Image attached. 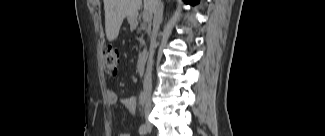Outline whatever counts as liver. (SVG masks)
Masks as SVG:
<instances>
[{
  "mask_svg": "<svg viewBox=\"0 0 325 136\" xmlns=\"http://www.w3.org/2000/svg\"><path fill=\"white\" fill-rule=\"evenodd\" d=\"M145 9L152 12V2L145 0ZM142 0H104L105 31L108 41L118 37L125 17L137 18Z\"/></svg>",
  "mask_w": 325,
  "mask_h": 136,
  "instance_id": "obj_1",
  "label": "liver"
}]
</instances>
